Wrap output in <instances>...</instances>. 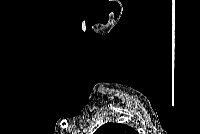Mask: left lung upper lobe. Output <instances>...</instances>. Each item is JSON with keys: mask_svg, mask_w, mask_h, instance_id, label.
Wrapping results in <instances>:
<instances>
[{"mask_svg": "<svg viewBox=\"0 0 200 134\" xmlns=\"http://www.w3.org/2000/svg\"><path fill=\"white\" fill-rule=\"evenodd\" d=\"M94 134H137L126 124L106 123L99 127Z\"/></svg>", "mask_w": 200, "mask_h": 134, "instance_id": "5c2ea615", "label": "left lung upper lobe"}]
</instances>
